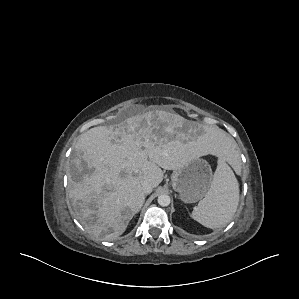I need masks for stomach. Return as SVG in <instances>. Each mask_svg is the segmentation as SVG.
Segmentation results:
<instances>
[{"label": "stomach", "instance_id": "1", "mask_svg": "<svg viewBox=\"0 0 299 299\" xmlns=\"http://www.w3.org/2000/svg\"><path fill=\"white\" fill-rule=\"evenodd\" d=\"M172 187L185 203H195L204 198L213 181L209 163L201 158L190 161L185 167L175 170L171 176Z\"/></svg>", "mask_w": 299, "mask_h": 299}]
</instances>
